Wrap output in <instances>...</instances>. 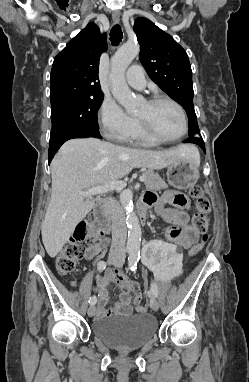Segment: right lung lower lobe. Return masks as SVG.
<instances>
[{"label":"right lung lower lobe","instance_id":"obj_1","mask_svg":"<svg viewBox=\"0 0 249 382\" xmlns=\"http://www.w3.org/2000/svg\"><path fill=\"white\" fill-rule=\"evenodd\" d=\"M85 137H95L102 138L98 130L80 129L64 133L56 138L50 139L49 143V163L54 157L55 153L58 151L60 146L69 139L73 138H85Z\"/></svg>","mask_w":249,"mask_h":382}]
</instances>
